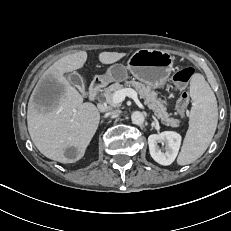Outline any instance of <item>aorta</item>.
Instances as JSON below:
<instances>
[{"label":"aorta","instance_id":"1","mask_svg":"<svg viewBox=\"0 0 231 231\" xmlns=\"http://www.w3.org/2000/svg\"><path fill=\"white\" fill-rule=\"evenodd\" d=\"M131 120L136 125H142L144 123V115L140 111H134L131 115Z\"/></svg>","mask_w":231,"mask_h":231}]
</instances>
